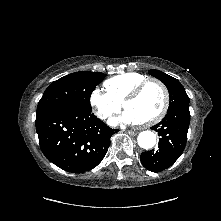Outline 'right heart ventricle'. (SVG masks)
I'll return each instance as SVG.
<instances>
[{
  "label": "right heart ventricle",
  "mask_w": 221,
  "mask_h": 221,
  "mask_svg": "<svg viewBox=\"0 0 221 221\" xmlns=\"http://www.w3.org/2000/svg\"><path fill=\"white\" fill-rule=\"evenodd\" d=\"M146 79L148 78L140 73L127 72L107 79L104 87L109 96L121 103L137 85Z\"/></svg>",
  "instance_id": "right-heart-ventricle-1"
}]
</instances>
